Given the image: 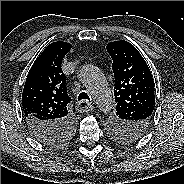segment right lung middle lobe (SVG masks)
Listing matches in <instances>:
<instances>
[{
	"label": "right lung middle lobe",
	"instance_id": "dd1d6c3e",
	"mask_svg": "<svg viewBox=\"0 0 184 184\" xmlns=\"http://www.w3.org/2000/svg\"><path fill=\"white\" fill-rule=\"evenodd\" d=\"M74 126H75V125H74ZM73 132H74V128H73L72 130H70V131L67 133V135H65L64 138H63L61 141L55 143V144L52 145V146H59V145H61V144H64V143L71 137V135H72Z\"/></svg>",
	"mask_w": 184,
	"mask_h": 184
}]
</instances>
